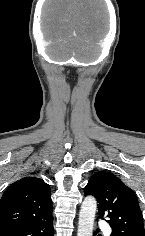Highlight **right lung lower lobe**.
I'll return each instance as SVG.
<instances>
[{
	"mask_svg": "<svg viewBox=\"0 0 145 236\" xmlns=\"http://www.w3.org/2000/svg\"><path fill=\"white\" fill-rule=\"evenodd\" d=\"M53 216L33 223L0 229V236H53Z\"/></svg>",
	"mask_w": 145,
	"mask_h": 236,
	"instance_id": "right-lung-lower-lobe-1",
	"label": "right lung lower lobe"
}]
</instances>
